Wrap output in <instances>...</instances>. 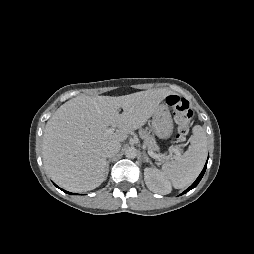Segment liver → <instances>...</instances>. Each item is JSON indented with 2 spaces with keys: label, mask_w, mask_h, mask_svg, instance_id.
Returning a JSON list of instances; mask_svg holds the SVG:
<instances>
[{
  "label": "liver",
  "mask_w": 254,
  "mask_h": 254,
  "mask_svg": "<svg viewBox=\"0 0 254 254\" xmlns=\"http://www.w3.org/2000/svg\"><path fill=\"white\" fill-rule=\"evenodd\" d=\"M171 94V90L159 88L118 97L70 99L55 111L45 127L42 153L47 173L70 191L97 188L106 178V146L112 141H125ZM110 126L118 129L106 134Z\"/></svg>",
  "instance_id": "6515ba94"
}]
</instances>
